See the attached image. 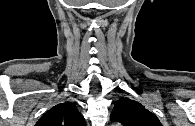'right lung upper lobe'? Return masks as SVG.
Returning <instances> with one entry per match:
<instances>
[{"instance_id": "cb5924a9", "label": "right lung upper lobe", "mask_w": 195, "mask_h": 126, "mask_svg": "<svg viewBox=\"0 0 195 126\" xmlns=\"http://www.w3.org/2000/svg\"><path fill=\"white\" fill-rule=\"evenodd\" d=\"M35 126H86V123L76 105L65 102L52 107Z\"/></svg>"}]
</instances>
